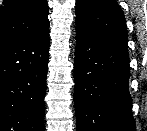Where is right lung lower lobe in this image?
Masks as SVG:
<instances>
[{
	"label": "right lung lower lobe",
	"mask_w": 147,
	"mask_h": 131,
	"mask_svg": "<svg viewBox=\"0 0 147 131\" xmlns=\"http://www.w3.org/2000/svg\"><path fill=\"white\" fill-rule=\"evenodd\" d=\"M49 30L0 46V131H44Z\"/></svg>",
	"instance_id": "98d812e1"
}]
</instances>
